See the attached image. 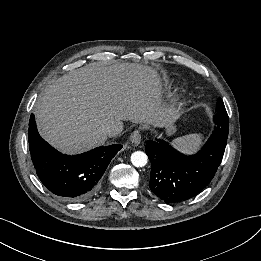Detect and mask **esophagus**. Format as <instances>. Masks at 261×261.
I'll use <instances>...</instances> for the list:
<instances>
[{"label": "esophagus", "instance_id": "34e87169", "mask_svg": "<svg viewBox=\"0 0 261 261\" xmlns=\"http://www.w3.org/2000/svg\"><path fill=\"white\" fill-rule=\"evenodd\" d=\"M130 141L134 144V145H138L141 142V132L140 130H135L131 136H130Z\"/></svg>", "mask_w": 261, "mask_h": 261}]
</instances>
